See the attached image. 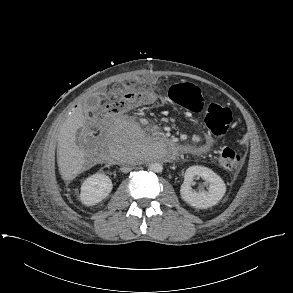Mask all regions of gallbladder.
<instances>
[{"instance_id": "1", "label": "gallbladder", "mask_w": 293, "mask_h": 293, "mask_svg": "<svg viewBox=\"0 0 293 293\" xmlns=\"http://www.w3.org/2000/svg\"><path fill=\"white\" fill-rule=\"evenodd\" d=\"M98 105V99L96 97H89L86 101V107L92 109Z\"/></svg>"}]
</instances>
